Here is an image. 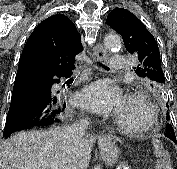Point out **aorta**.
Returning <instances> with one entry per match:
<instances>
[{"mask_svg":"<svg viewBox=\"0 0 177 169\" xmlns=\"http://www.w3.org/2000/svg\"><path fill=\"white\" fill-rule=\"evenodd\" d=\"M121 46V39L118 35H107L104 39V47L106 50L119 48Z\"/></svg>","mask_w":177,"mask_h":169,"instance_id":"aorta-1","label":"aorta"}]
</instances>
